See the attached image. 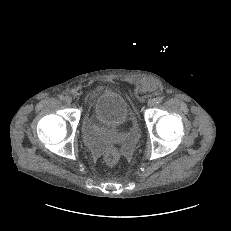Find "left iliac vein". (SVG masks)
Segmentation results:
<instances>
[{
  "mask_svg": "<svg viewBox=\"0 0 231 231\" xmlns=\"http://www.w3.org/2000/svg\"><path fill=\"white\" fill-rule=\"evenodd\" d=\"M155 99H150L149 101H148V106L149 107H153L154 105H155Z\"/></svg>",
  "mask_w": 231,
  "mask_h": 231,
  "instance_id": "left-iliac-vein-1",
  "label": "left iliac vein"
}]
</instances>
